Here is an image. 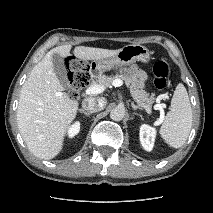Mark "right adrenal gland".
I'll return each mask as SVG.
<instances>
[{
    "instance_id": "obj_1",
    "label": "right adrenal gland",
    "mask_w": 213,
    "mask_h": 213,
    "mask_svg": "<svg viewBox=\"0 0 213 213\" xmlns=\"http://www.w3.org/2000/svg\"><path fill=\"white\" fill-rule=\"evenodd\" d=\"M79 112L82 113V114H84V115L87 116V117L90 116V115L92 114L91 112H87V111H85V110H83V109H80Z\"/></svg>"
}]
</instances>
